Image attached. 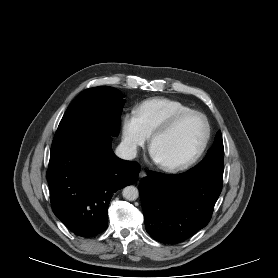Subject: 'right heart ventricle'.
Masks as SVG:
<instances>
[{
	"label": "right heart ventricle",
	"instance_id": "1",
	"mask_svg": "<svg viewBox=\"0 0 278 278\" xmlns=\"http://www.w3.org/2000/svg\"><path fill=\"white\" fill-rule=\"evenodd\" d=\"M189 109L191 108L181 101L166 97H154L142 101L136 107L135 112L150 135L172 116Z\"/></svg>",
	"mask_w": 278,
	"mask_h": 278
}]
</instances>
